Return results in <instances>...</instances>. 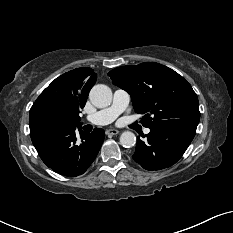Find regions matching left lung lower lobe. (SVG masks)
I'll return each mask as SVG.
<instances>
[{
    "instance_id": "1",
    "label": "left lung lower lobe",
    "mask_w": 233,
    "mask_h": 233,
    "mask_svg": "<svg viewBox=\"0 0 233 233\" xmlns=\"http://www.w3.org/2000/svg\"><path fill=\"white\" fill-rule=\"evenodd\" d=\"M195 131L180 127L150 129L144 142L137 138L133 159L146 170H161L175 164L195 136Z\"/></svg>"
}]
</instances>
